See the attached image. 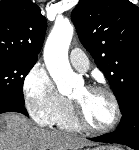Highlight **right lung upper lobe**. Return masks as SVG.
<instances>
[{
  "label": "right lung upper lobe",
  "mask_w": 139,
  "mask_h": 150,
  "mask_svg": "<svg viewBox=\"0 0 139 150\" xmlns=\"http://www.w3.org/2000/svg\"><path fill=\"white\" fill-rule=\"evenodd\" d=\"M46 27L45 17L33 2L0 1V53L37 60Z\"/></svg>",
  "instance_id": "cb5924a9"
}]
</instances>
